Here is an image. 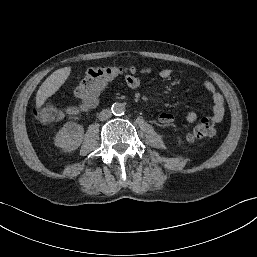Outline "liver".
<instances>
[{"label": "liver", "instance_id": "obj_1", "mask_svg": "<svg viewBox=\"0 0 257 257\" xmlns=\"http://www.w3.org/2000/svg\"><path fill=\"white\" fill-rule=\"evenodd\" d=\"M71 73V67L54 71L40 86L36 94V108L39 109L45 101L55 94L65 83Z\"/></svg>", "mask_w": 257, "mask_h": 257}]
</instances>
